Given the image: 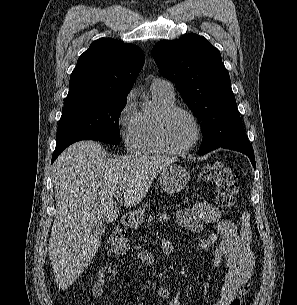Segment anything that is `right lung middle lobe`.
I'll use <instances>...</instances> for the list:
<instances>
[{"mask_svg":"<svg viewBox=\"0 0 297 305\" xmlns=\"http://www.w3.org/2000/svg\"><path fill=\"white\" fill-rule=\"evenodd\" d=\"M120 98H86L64 103L55 149H65L80 140L120 143L119 116L126 105Z\"/></svg>","mask_w":297,"mask_h":305,"instance_id":"right-lung-middle-lobe-1","label":"right lung middle lobe"}]
</instances>
